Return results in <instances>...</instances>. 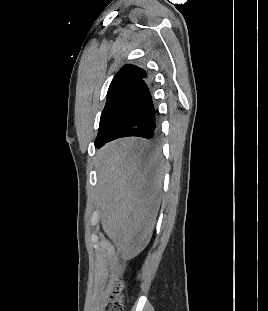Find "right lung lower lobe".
<instances>
[{"label":"right lung lower lobe","instance_id":"right-lung-lower-lobe-1","mask_svg":"<svg viewBox=\"0 0 268 311\" xmlns=\"http://www.w3.org/2000/svg\"><path fill=\"white\" fill-rule=\"evenodd\" d=\"M145 78L135 86L127 104L103 138L95 143V147L100 148L109 141L126 136H138L150 140L158 137V110L155 108Z\"/></svg>","mask_w":268,"mask_h":311}]
</instances>
